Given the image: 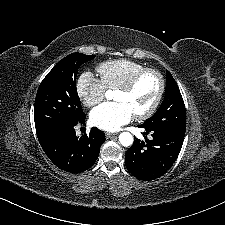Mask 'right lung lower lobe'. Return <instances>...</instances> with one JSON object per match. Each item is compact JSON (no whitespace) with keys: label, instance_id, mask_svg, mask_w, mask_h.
I'll list each match as a JSON object with an SVG mask.
<instances>
[{"label":"right lung lower lobe","instance_id":"obj_1","mask_svg":"<svg viewBox=\"0 0 225 225\" xmlns=\"http://www.w3.org/2000/svg\"><path fill=\"white\" fill-rule=\"evenodd\" d=\"M85 121V113L70 125L48 130L38 135L42 149L50 160L60 169L80 173L98 158L100 147L105 141L103 131L92 128L89 134L76 136L74 126Z\"/></svg>","mask_w":225,"mask_h":225}]
</instances>
